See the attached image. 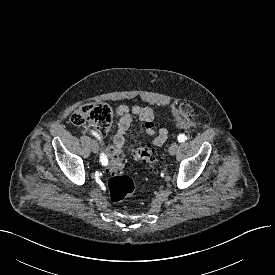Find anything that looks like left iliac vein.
Here are the masks:
<instances>
[{
	"mask_svg": "<svg viewBox=\"0 0 275 275\" xmlns=\"http://www.w3.org/2000/svg\"><path fill=\"white\" fill-rule=\"evenodd\" d=\"M178 150V144L177 143H172L169 147V153L171 155H175V153L177 152Z\"/></svg>",
	"mask_w": 275,
	"mask_h": 275,
	"instance_id": "left-iliac-vein-1",
	"label": "left iliac vein"
}]
</instances>
